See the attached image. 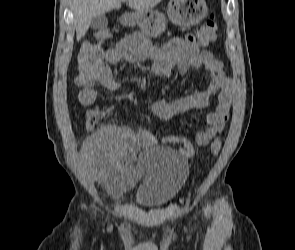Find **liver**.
Returning <instances> with one entry per match:
<instances>
[{
	"instance_id": "obj_1",
	"label": "liver",
	"mask_w": 295,
	"mask_h": 250,
	"mask_svg": "<svg viewBox=\"0 0 295 250\" xmlns=\"http://www.w3.org/2000/svg\"><path fill=\"white\" fill-rule=\"evenodd\" d=\"M162 0H73L72 11L76 36L79 41L88 31L91 19L109 11L120 9L121 2H127L134 10H145L155 7Z\"/></svg>"
}]
</instances>
